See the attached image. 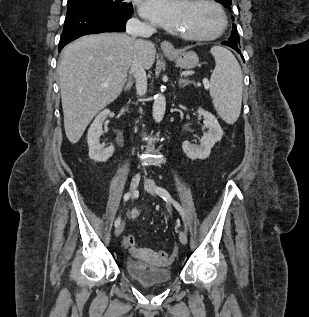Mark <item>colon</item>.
<instances>
[{
  "label": "colon",
  "mask_w": 309,
  "mask_h": 317,
  "mask_svg": "<svg viewBox=\"0 0 309 317\" xmlns=\"http://www.w3.org/2000/svg\"><path fill=\"white\" fill-rule=\"evenodd\" d=\"M131 215L133 218H137L139 216V212L137 210H133ZM124 243L127 247L134 248L135 247V238L132 235H128L125 237ZM159 257H160L162 262H164V263L168 262V260H167L168 254L167 253L160 252Z\"/></svg>",
  "instance_id": "5ec220e1"
}]
</instances>
